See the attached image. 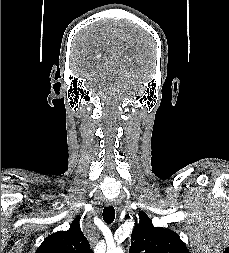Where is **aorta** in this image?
Returning a JSON list of instances; mask_svg holds the SVG:
<instances>
[{
    "label": "aorta",
    "instance_id": "762f6f07",
    "mask_svg": "<svg viewBox=\"0 0 229 253\" xmlns=\"http://www.w3.org/2000/svg\"><path fill=\"white\" fill-rule=\"evenodd\" d=\"M107 253H124L120 247H112L107 250Z\"/></svg>",
    "mask_w": 229,
    "mask_h": 253
}]
</instances>
